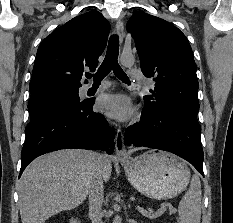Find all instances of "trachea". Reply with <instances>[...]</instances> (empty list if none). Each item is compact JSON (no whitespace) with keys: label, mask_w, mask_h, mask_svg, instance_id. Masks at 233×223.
Masks as SVG:
<instances>
[{"label":"trachea","mask_w":233,"mask_h":223,"mask_svg":"<svg viewBox=\"0 0 233 223\" xmlns=\"http://www.w3.org/2000/svg\"><path fill=\"white\" fill-rule=\"evenodd\" d=\"M119 54V38L114 34L110 37L105 58L98 68V71L93 74H87V78L93 77L94 83H100L104 77H106L111 70H113L115 76L124 83H129V78L118 64Z\"/></svg>","instance_id":"1"}]
</instances>
